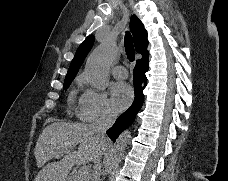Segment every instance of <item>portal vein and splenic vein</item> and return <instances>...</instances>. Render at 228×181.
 I'll return each mask as SVG.
<instances>
[{"mask_svg": "<svg viewBox=\"0 0 228 181\" xmlns=\"http://www.w3.org/2000/svg\"><path fill=\"white\" fill-rule=\"evenodd\" d=\"M60 157H61V155H60ZM79 173H81V175H89L90 171H89L88 167H85V165H84V167H80ZM81 175H80V177H78V179H83V177H81Z\"/></svg>", "mask_w": 228, "mask_h": 181, "instance_id": "portal-vein-and-splenic-vein-1", "label": "portal vein and splenic vein"}]
</instances>
